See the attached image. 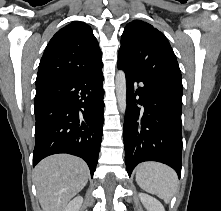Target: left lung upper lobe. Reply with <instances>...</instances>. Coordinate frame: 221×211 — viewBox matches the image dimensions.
Listing matches in <instances>:
<instances>
[{
  "label": "left lung upper lobe",
  "mask_w": 221,
  "mask_h": 211,
  "mask_svg": "<svg viewBox=\"0 0 221 211\" xmlns=\"http://www.w3.org/2000/svg\"><path fill=\"white\" fill-rule=\"evenodd\" d=\"M118 62L145 79L183 89L181 71L167 38L146 22L134 20L127 24L121 38Z\"/></svg>",
  "instance_id": "left-lung-upper-lobe-1"
}]
</instances>
